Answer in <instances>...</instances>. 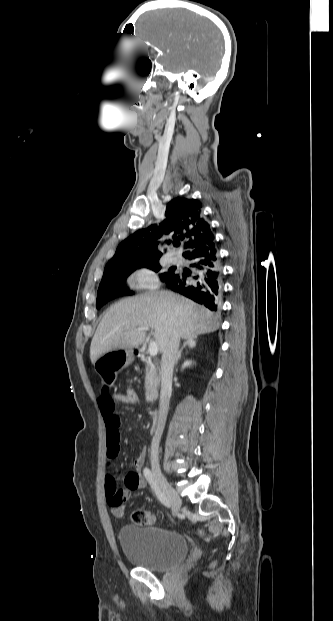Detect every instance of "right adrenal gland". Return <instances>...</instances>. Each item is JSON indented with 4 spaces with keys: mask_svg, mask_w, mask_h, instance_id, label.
<instances>
[{
    "mask_svg": "<svg viewBox=\"0 0 333 621\" xmlns=\"http://www.w3.org/2000/svg\"><path fill=\"white\" fill-rule=\"evenodd\" d=\"M196 339H197V337H191V338H188V339L184 342V344L182 345V347L180 348V350L178 351V353H177V355H176L175 365H177V364H178V361H179V359H180V357H181V353H182L183 349H184L186 346H188L189 348H194V347L196 346Z\"/></svg>",
    "mask_w": 333,
    "mask_h": 621,
    "instance_id": "1",
    "label": "right adrenal gland"
}]
</instances>
